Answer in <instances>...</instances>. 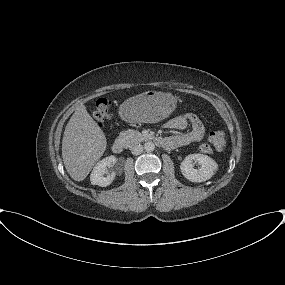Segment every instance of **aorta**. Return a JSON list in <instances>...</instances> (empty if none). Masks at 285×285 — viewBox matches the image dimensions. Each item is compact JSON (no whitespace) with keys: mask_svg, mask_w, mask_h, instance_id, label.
<instances>
[{"mask_svg":"<svg viewBox=\"0 0 285 285\" xmlns=\"http://www.w3.org/2000/svg\"><path fill=\"white\" fill-rule=\"evenodd\" d=\"M144 149H145V151H147V152H152V151H154V149H155V145H154L153 142L148 141V142H146V143L144 144Z\"/></svg>","mask_w":285,"mask_h":285,"instance_id":"1","label":"aorta"}]
</instances>
